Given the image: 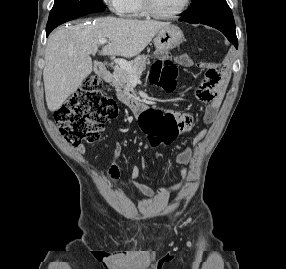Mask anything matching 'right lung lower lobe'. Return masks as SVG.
Wrapping results in <instances>:
<instances>
[{
	"label": "right lung lower lobe",
	"instance_id": "98d812e1",
	"mask_svg": "<svg viewBox=\"0 0 286 269\" xmlns=\"http://www.w3.org/2000/svg\"><path fill=\"white\" fill-rule=\"evenodd\" d=\"M52 30H53L52 28H51V29H46V35L48 36L49 33H50Z\"/></svg>",
	"mask_w": 286,
	"mask_h": 269
}]
</instances>
